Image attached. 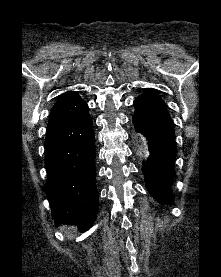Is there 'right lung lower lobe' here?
<instances>
[{"label": "right lung lower lobe", "mask_w": 221, "mask_h": 277, "mask_svg": "<svg viewBox=\"0 0 221 277\" xmlns=\"http://www.w3.org/2000/svg\"><path fill=\"white\" fill-rule=\"evenodd\" d=\"M95 136L87 103L75 92L53 106L45 139L46 196L56 225L88 230L97 216Z\"/></svg>", "instance_id": "1"}]
</instances>
